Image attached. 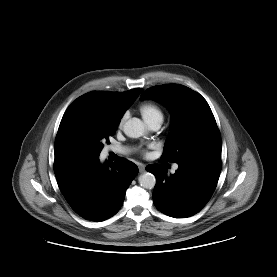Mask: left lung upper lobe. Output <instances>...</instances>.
Returning a JSON list of instances; mask_svg holds the SVG:
<instances>
[{"label": "left lung upper lobe", "mask_w": 277, "mask_h": 277, "mask_svg": "<svg viewBox=\"0 0 277 277\" xmlns=\"http://www.w3.org/2000/svg\"><path fill=\"white\" fill-rule=\"evenodd\" d=\"M141 97L165 104L172 113V130L163 158L181 162L205 153H221V136L206 100L192 89L168 84L147 89Z\"/></svg>", "instance_id": "5c2ea615"}]
</instances>
